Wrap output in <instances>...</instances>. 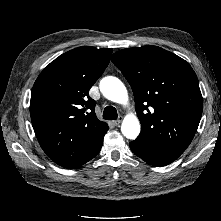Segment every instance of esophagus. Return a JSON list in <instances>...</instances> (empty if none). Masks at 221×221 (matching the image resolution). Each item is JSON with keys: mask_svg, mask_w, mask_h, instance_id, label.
Instances as JSON below:
<instances>
[{"mask_svg": "<svg viewBox=\"0 0 221 221\" xmlns=\"http://www.w3.org/2000/svg\"><path fill=\"white\" fill-rule=\"evenodd\" d=\"M123 118L119 117L117 120L113 121L114 126H118L122 122Z\"/></svg>", "mask_w": 221, "mask_h": 221, "instance_id": "esophagus-1", "label": "esophagus"}]
</instances>
